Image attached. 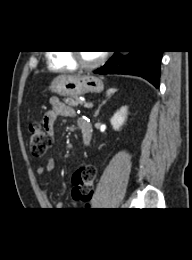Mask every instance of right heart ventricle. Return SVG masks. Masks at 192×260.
Instances as JSON below:
<instances>
[{"label":"right heart ventricle","instance_id":"right-heart-ventricle-1","mask_svg":"<svg viewBox=\"0 0 192 260\" xmlns=\"http://www.w3.org/2000/svg\"><path fill=\"white\" fill-rule=\"evenodd\" d=\"M49 67L55 71H74L77 65L68 51H59L49 55Z\"/></svg>","mask_w":192,"mask_h":260}]
</instances>
